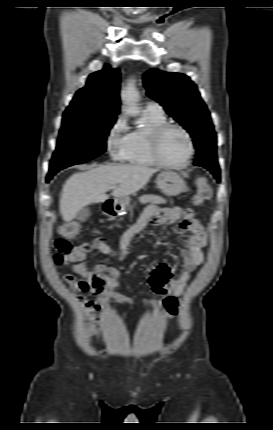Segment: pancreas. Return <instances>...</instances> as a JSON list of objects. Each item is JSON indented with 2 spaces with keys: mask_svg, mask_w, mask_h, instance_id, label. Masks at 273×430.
<instances>
[{
  "mask_svg": "<svg viewBox=\"0 0 273 430\" xmlns=\"http://www.w3.org/2000/svg\"><path fill=\"white\" fill-rule=\"evenodd\" d=\"M139 201L142 204H145L147 202H152L155 204H165L166 200L158 195H143L139 198Z\"/></svg>",
  "mask_w": 273,
  "mask_h": 430,
  "instance_id": "obj_1",
  "label": "pancreas"
}]
</instances>
